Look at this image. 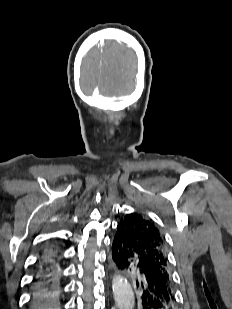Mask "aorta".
<instances>
[{
	"label": "aorta",
	"mask_w": 232,
	"mask_h": 309,
	"mask_svg": "<svg viewBox=\"0 0 232 309\" xmlns=\"http://www.w3.org/2000/svg\"><path fill=\"white\" fill-rule=\"evenodd\" d=\"M112 289L118 309L134 308V293L126 279L119 275L114 276L112 281Z\"/></svg>",
	"instance_id": "1"
}]
</instances>
